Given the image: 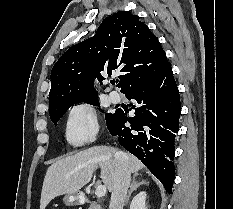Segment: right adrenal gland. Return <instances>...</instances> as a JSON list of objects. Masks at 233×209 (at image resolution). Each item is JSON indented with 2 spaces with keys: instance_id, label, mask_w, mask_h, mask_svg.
I'll list each match as a JSON object with an SVG mask.
<instances>
[{
  "instance_id": "obj_1",
  "label": "right adrenal gland",
  "mask_w": 233,
  "mask_h": 209,
  "mask_svg": "<svg viewBox=\"0 0 233 209\" xmlns=\"http://www.w3.org/2000/svg\"><path fill=\"white\" fill-rule=\"evenodd\" d=\"M137 176H138V174H134V176H133V181H132V184H131V186H130V190H129L128 195H127V197H126V199H125V205L128 204V202H129V200H130V197H131L132 193H133L134 191H136L137 188H138L140 185H147V184H148V182L145 181V180H142L141 182H137V181H136Z\"/></svg>"
}]
</instances>
